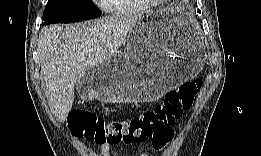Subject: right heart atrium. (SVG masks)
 Wrapping results in <instances>:
<instances>
[{
  "instance_id": "right-heart-atrium-1",
  "label": "right heart atrium",
  "mask_w": 261,
  "mask_h": 156,
  "mask_svg": "<svg viewBox=\"0 0 261 156\" xmlns=\"http://www.w3.org/2000/svg\"><path fill=\"white\" fill-rule=\"evenodd\" d=\"M108 1H109V0H101V1H99V4H100V6H102L103 8L109 9Z\"/></svg>"
}]
</instances>
